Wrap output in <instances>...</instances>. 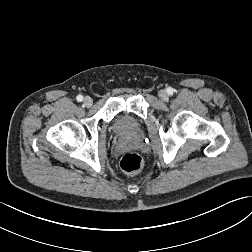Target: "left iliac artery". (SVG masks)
Returning <instances> with one entry per match:
<instances>
[{
  "label": "left iliac artery",
  "mask_w": 252,
  "mask_h": 252,
  "mask_svg": "<svg viewBox=\"0 0 252 252\" xmlns=\"http://www.w3.org/2000/svg\"><path fill=\"white\" fill-rule=\"evenodd\" d=\"M167 93L169 95H172L173 94V89L171 87L167 88Z\"/></svg>",
  "instance_id": "obj_1"
}]
</instances>
